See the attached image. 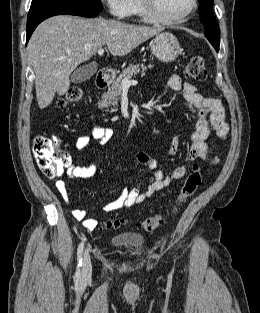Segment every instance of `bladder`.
I'll return each mask as SVG.
<instances>
[{"label":"bladder","instance_id":"31cf9c89","mask_svg":"<svg viewBox=\"0 0 260 313\" xmlns=\"http://www.w3.org/2000/svg\"><path fill=\"white\" fill-rule=\"evenodd\" d=\"M111 244L119 248H137L143 245L144 237L139 234H123L110 240Z\"/></svg>","mask_w":260,"mask_h":313}]
</instances>
